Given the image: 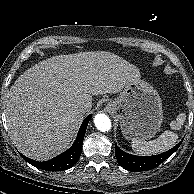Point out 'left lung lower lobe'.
<instances>
[{
	"instance_id": "0a47b994",
	"label": "left lung lower lobe",
	"mask_w": 194,
	"mask_h": 194,
	"mask_svg": "<svg viewBox=\"0 0 194 194\" xmlns=\"http://www.w3.org/2000/svg\"><path fill=\"white\" fill-rule=\"evenodd\" d=\"M183 141V140H182ZM179 142L170 150L154 156H135L122 151L118 146L115 148V155L118 163L128 171L140 172L153 169L170 157L181 145Z\"/></svg>"
}]
</instances>
